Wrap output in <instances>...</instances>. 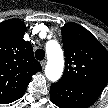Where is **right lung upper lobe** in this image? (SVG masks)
<instances>
[{"mask_svg":"<svg viewBox=\"0 0 108 108\" xmlns=\"http://www.w3.org/2000/svg\"><path fill=\"white\" fill-rule=\"evenodd\" d=\"M25 24L18 19L0 23V103L21 98L32 75L41 70L32 45L23 39Z\"/></svg>","mask_w":108,"mask_h":108,"instance_id":"right-lung-upper-lobe-1","label":"right lung upper lobe"}]
</instances>
